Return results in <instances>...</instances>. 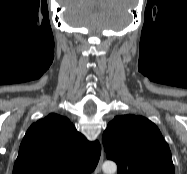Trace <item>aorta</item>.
I'll use <instances>...</instances> for the list:
<instances>
[{
  "label": "aorta",
  "instance_id": "obj_1",
  "mask_svg": "<svg viewBox=\"0 0 187 174\" xmlns=\"http://www.w3.org/2000/svg\"><path fill=\"white\" fill-rule=\"evenodd\" d=\"M102 169L105 174H114L117 170V165L112 161H106L104 162Z\"/></svg>",
  "mask_w": 187,
  "mask_h": 174
}]
</instances>
